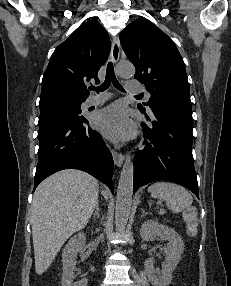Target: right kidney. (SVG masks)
Segmentation results:
<instances>
[{
    "mask_svg": "<svg viewBox=\"0 0 231 286\" xmlns=\"http://www.w3.org/2000/svg\"><path fill=\"white\" fill-rule=\"evenodd\" d=\"M86 237L84 233L74 235L66 244L63 254V274L62 286H87V279H82L78 282H73L72 278L75 271L77 254L83 251L85 247Z\"/></svg>",
    "mask_w": 231,
    "mask_h": 286,
    "instance_id": "1",
    "label": "right kidney"
}]
</instances>
